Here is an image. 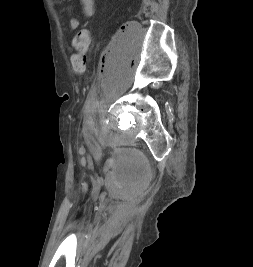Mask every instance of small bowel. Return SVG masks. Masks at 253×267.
Instances as JSON below:
<instances>
[{"label": "small bowel", "mask_w": 253, "mask_h": 267, "mask_svg": "<svg viewBox=\"0 0 253 267\" xmlns=\"http://www.w3.org/2000/svg\"><path fill=\"white\" fill-rule=\"evenodd\" d=\"M82 6L83 14L90 18L95 14L94 0H79ZM81 26L80 20L76 17H71L69 19V27L72 30H78Z\"/></svg>", "instance_id": "small-bowel-1"}]
</instances>
